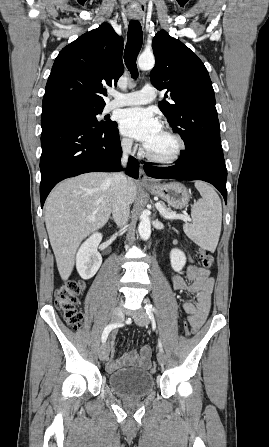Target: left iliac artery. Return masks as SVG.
<instances>
[{"label":"left iliac artery","mask_w":269,"mask_h":447,"mask_svg":"<svg viewBox=\"0 0 269 447\" xmlns=\"http://www.w3.org/2000/svg\"><path fill=\"white\" fill-rule=\"evenodd\" d=\"M145 309H146V313L149 315V317H151L153 315L152 312L156 311L151 304H146ZM159 346H160V348H162V345L160 342H159Z\"/></svg>","instance_id":"obj_1"}]
</instances>
